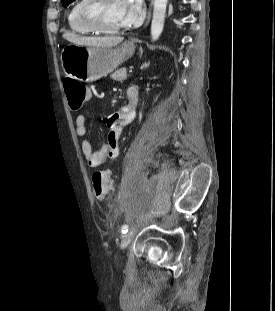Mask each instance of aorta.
<instances>
[{
  "mask_svg": "<svg viewBox=\"0 0 275 311\" xmlns=\"http://www.w3.org/2000/svg\"><path fill=\"white\" fill-rule=\"evenodd\" d=\"M167 0H154V11L151 24V39L156 41L164 27Z\"/></svg>",
  "mask_w": 275,
  "mask_h": 311,
  "instance_id": "obj_1",
  "label": "aorta"
}]
</instances>
